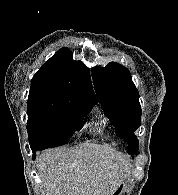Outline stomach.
I'll use <instances>...</instances> for the list:
<instances>
[{"label":"stomach","mask_w":178,"mask_h":195,"mask_svg":"<svg viewBox=\"0 0 178 195\" xmlns=\"http://www.w3.org/2000/svg\"><path fill=\"white\" fill-rule=\"evenodd\" d=\"M117 191H118V188L115 190V193H117Z\"/></svg>","instance_id":"0dacf381"}]
</instances>
